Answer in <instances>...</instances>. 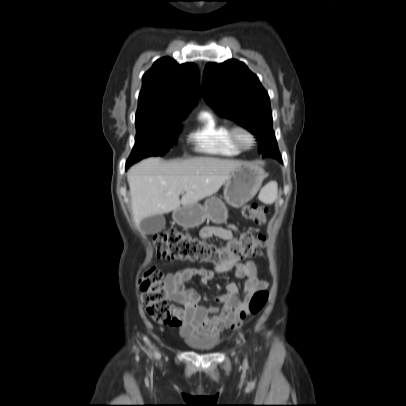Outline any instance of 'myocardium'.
<instances>
[{
  "instance_id": "1",
  "label": "myocardium",
  "mask_w": 406,
  "mask_h": 406,
  "mask_svg": "<svg viewBox=\"0 0 406 406\" xmlns=\"http://www.w3.org/2000/svg\"><path fill=\"white\" fill-rule=\"evenodd\" d=\"M245 133L250 138V142L245 144L242 142L240 134ZM230 137L233 143L243 150L251 149L256 144V136L255 134L246 126L244 125H235L230 129Z\"/></svg>"
}]
</instances>
